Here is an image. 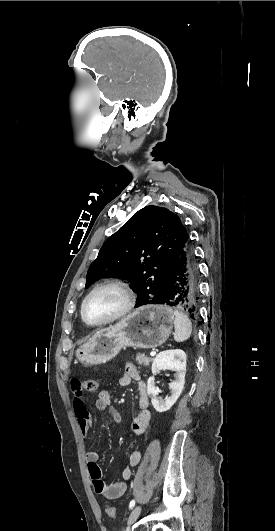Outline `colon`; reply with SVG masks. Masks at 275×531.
Instances as JSON below:
<instances>
[{
    "mask_svg": "<svg viewBox=\"0 0 275 531\" xmlns=\"http://www.w3.org/2000/svg\"><path fill=\"white\" fill-rule=\"evenodd\" d=\"M82 389L84 392H88V393L97 392L99 389L98 379L97 378L85 379V381L82 384ZM107 511L110 515H112L113 521H116L115 509L113 507H108Z\"/></svg>",
    "mask_w": 275,
    "mask_h": 531,
    "instance_id": "colon-1",
    "label": "colon"
}]
</instances>
